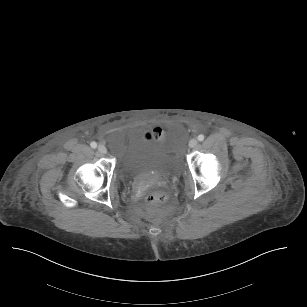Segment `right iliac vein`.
Returning a JSON list of instances; mask_svg holds the SVG:
<instances>
[{
	"mask_svg": "<svg viewBox=\"0 0 307 307\" xmlns=\"http://www.w3.org/2000/svg\"><path fill=\"white\" fill-rule=\"evenodd\" d=\"M98 151H99L101 154H106V153H107V148H106L104 145H99V146H98Z\"/></svg>",
	"mask_w": 307,
	"mask_h": 307,
	"instance_id": "63e3f726",
	"label": "right iliac vein"
}]
</instances>
